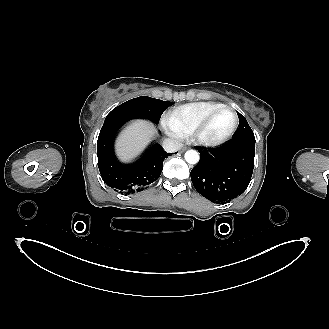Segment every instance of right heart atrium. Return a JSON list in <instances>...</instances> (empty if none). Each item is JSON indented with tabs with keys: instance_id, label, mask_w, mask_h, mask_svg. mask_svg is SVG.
<instances>
[{
	"instance_id": "right-heart-atrium-1",
	"label": "right heart atrium",
	"mask_w": 329,
	"mask_h": 329,
	"mask_svg": "<svg viewBox=\"0 0 329 329\" xmlns=\"http://www.w3.org/2000/svg\"><path fill=\"white\" fill-rule=\"evenodd\" d=\"M165 127L167 129V132L174 138L179 139L182 138V134L178 132L170 123L168 120L165 121Z\"/></svg>"
}]
</instances>
